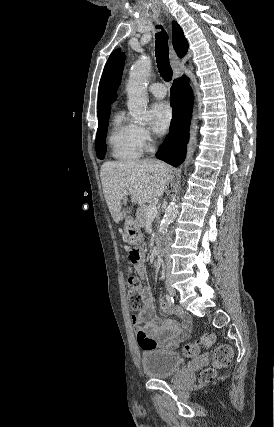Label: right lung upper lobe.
I'll use <instances>...</instances> for the list:
<instances>
[{
	"instance_id": "cb5924a9",
	"label": "right lung upper lobe",
	"mask_w": 274,
	"mask_h": 427,
	"mask_svg": "<svg viewBox=\"0 0 274 427\" xmlns=\"http://www.w3.org/2000/svg\"><path fill=\"white\" fill-rule=\"evenodd\" d=\"M172 43L174 46V49L177 53V55L179 57H184L188 51V42L186 40V38L184 37L183 31L181 29V27L175 22H172ZM119 49L115 50L114 52L111 53L101 80H100V84H99V92H98V113L103 112L107 109H110L111 106L110 104L106 103L105 99H104V95H103V87H104V82H105V78H106V74L108 73L110 66L112 65L113 61L115 60L116 56L119 53Z\"/></svg>"
}]
</instances>
